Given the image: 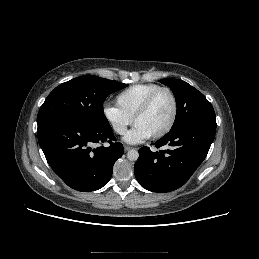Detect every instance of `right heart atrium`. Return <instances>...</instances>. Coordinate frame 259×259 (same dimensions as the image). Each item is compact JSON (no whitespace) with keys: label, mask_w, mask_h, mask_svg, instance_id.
I'll use <instances>...</instances> for the list:
<instances>
[{"label":"right heart atrium","mask_w":259,"mask_h":259,"mask_svg":"<svg viewBox=\"0 0 259 259\" xmlns=\"http://www.w3.org/2000/svg\"><path fill=\"white\" fill-rule=\"evenodd\" d=\"M102 114L111 129L118 135H123L128 126L132 123V118L121 111L117 106L105 104Z\"/></svg>","instance_id":"d8ad5b80"}]
</instances>
